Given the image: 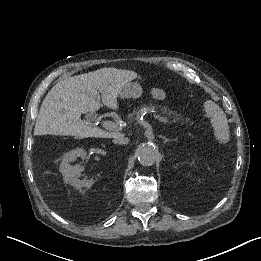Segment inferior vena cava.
I'll return each mask as SVG.
<instances>
[{"label": "inferior vena cava", "instance_id": "inferior-vena-cava-1", "mask_svg": "<svg viewBox=\"0 0 261 261\" xmlns=\"http://www.w3.org/2000/svg\"><path fill=\"white\" fill-rule=\"evenodd\" d=\"M115 141L118 144H128L129 143V138L125 137L124 134L120 133L118 136H116Z\"/></svg>", "mask_w": 261, "mask_h": 261}]
</instances>
